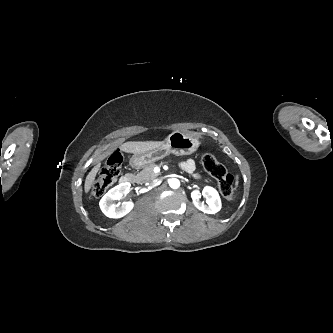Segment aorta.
I'll use <instances>...</instances> for the list:
<instances>
[{
  "mask_svg": "<svg viewBox=\"0 0 333 333\" xmlns=\"http://www.w3.org/2000/svg\"><path fill=\"white\" fill-rule=\"evenodd\" d=\"M168 183H169V186L172 189H177V188L180 187V180L177 179V178H171V179H169Z\"/></svg>",
  "mask_w": 333,
  "mask_h": 333,
  "instance_id": "aorta-1",
  "label": "aorta"
}]
</instances>
